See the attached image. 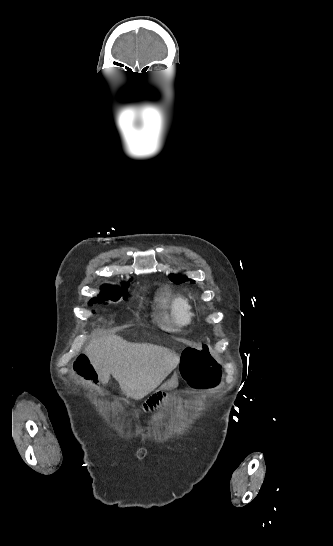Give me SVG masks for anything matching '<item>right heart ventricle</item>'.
I'll list each match as a JSON object with an SVG mask.
<instances>
[{"label": "right heart ventricle", "mask_w": 333, "mask_h": 546, "mask_svg": "<svg viewBox=\"0 0 333 546\" xmlns=\"http://www.w3.org/2000/svg\"><path fill=\"white\" fill-rule=\"evenodd\" d=\"M163 323L172 329L189 325L193 319V308L188 298L182 295H164L160 299Z\"/></svg>", "instance_id": "obj_1"}]
</instances>
